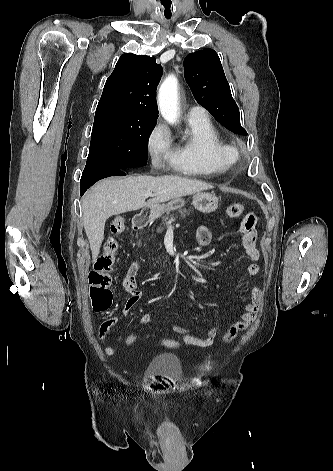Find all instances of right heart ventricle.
<instances>
[{
	"label": "right heart ventricle",
	"instance_id": "obj_1",
	"mask_svg": "<svg viewBox=\"0 0 333 471\" xmlns=\"http://www.w3.org/2000/svg\"><path fill=\"white\" fill-rule=\"evenodd\" d=\"M170 161L180 173L208 176L228 170L233 157L230 144L205 114L188 119L186 132L171 150Z\"/></svg>",
	"mask_w": 333,
	"mask_h": 471
}]
</instances>
